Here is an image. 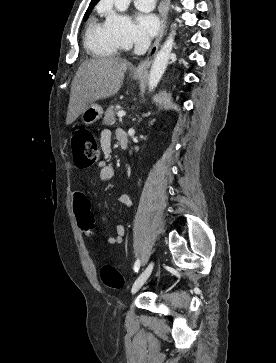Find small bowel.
<instances>
[{"instance_id":"small-bowel-1","label":"small bowel","mask_w":276,"mask_h":363,"mask_svg":"<svg viewBox=\"0 0 276 363\" xmlns=\"http://www.w3.org/2000/svg\"><path fill=\"white\" fill-rule=\"evenodd\" d=\"M119 132H124V131L121 129L117 130L116 137ZM111 143H112L111 132L109 130H104L100 136V146L104 153L105 159L98 163L99 178L102 181L112 180L114 177V174H115L113 166L111 164H109L107 161V158L109 157L110 150H111ZM76 183L79 185H84L85 184L84 177H82V176L77 177ZM72 198H73V207H74V210L76 211V213L78 214V219H79V217H81L83 220L93 221V215L90 210L91 202H90L88 196L86 195V193L81 190H74L72 193ZM118 201L122 205H124L128 208H131L133 205V202H132L130 196L127 194H120L118 196ZM83 232L87 236H92L94 233V224H92V226L89 229L83 230ZM125 233H126V229H125L124 225L118 224V225H116V228H115V235L108 237L105 241L107 244H112V245L120 244L124 240Z\"/></svg>"}]
</instances>
